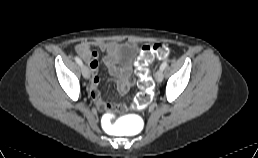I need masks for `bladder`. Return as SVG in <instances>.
Returning <instances> with one entry per match:
<instances>
[{"label":"bladder","instance_id":"obj_1","mask_svg":"<svg viewBox=\"0 0 258 158\" xmlns=\"http://www.w3.org/2000/svg\"><path fill=\"white\" fill-rule=\"evenodd\" d=\"M138 51V47L135 44H125L119 49V57L125 64H131Z\"/></svg>","mask_w":258,"mask_h":158}]
</instances>
